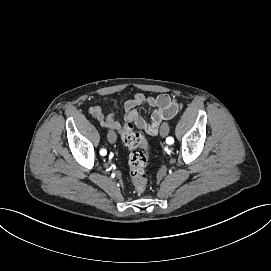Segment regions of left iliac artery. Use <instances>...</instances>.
<instances>
[{"instance_id": "1", "label": "left iliac artery", "mask_w": 271, "mask_h": 271, "mask_svg": "<svg viewBox=\"0 0 271 271\" xmlns=\"http://www.w3.org/2000/svg\"><path fill=\"white\" fill-rule=\"evenodd\" d=\"M174 142L173 138L172 137H169L166 139V143L167 144H172Z\"/></svg>"}]
</instances>
